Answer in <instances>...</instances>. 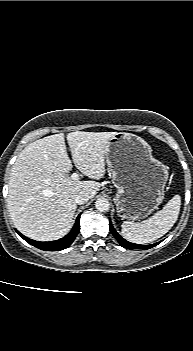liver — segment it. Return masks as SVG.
Instances as JSON below:
<instances>
[{
    "label": "liver",
    "mask_w": 193,
    "mask_h": 351,
    "mask_svg": "<svg viewBox=\"0 0 193 351\" xmlns=\"http://www.w3.org/2000/svg\"><path fill=\"white\" fill-rule=\"evenodd\" d=\"M115 134L68 133L77 169L93 180L103 178L109 140ZM72 167L63 133L36 140L19 154L11 170L7 206L22 234L38 241H52L70 231L77 209L76 196L86 192L93 198L101 186L97 181L71 179Z\"/></svg>",
    "instance_id": "6515ba94"
}]
</instances>
